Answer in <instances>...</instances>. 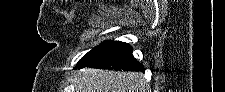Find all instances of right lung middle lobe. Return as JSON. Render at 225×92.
Returning <instances> with one entry per match:
<instances>
[{
    "label": "right lung middle lobe",
    "mask_w": 225,
    "mask_h": 92,
    "mask_svg": "<svg viewBox=\"0 0 225 92\" xmlns=\"http://www.w3.org/2000/svg\"><path fill=\"white\" fill-rule=\"evenodd\" d=\"M129 46V44L121 42V41H106L101 43L100 45L93 48L87 54H85L76 64L74 69H81L86 67L91 62L95 61L98 58H101L111 52H114L118 49Z\"/></svg>",
    "instance_id": "dd1d6c3e"
}]
</instances>
